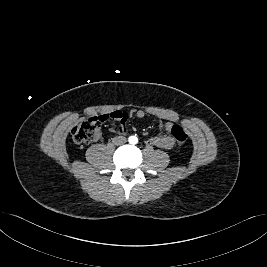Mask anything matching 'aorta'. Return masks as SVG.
I'll return each mask as SVG.
<instances>
[{"instance_id": "1", "label": "aorta", "mask_w": 267, "mask_h": 267, "mask_svg": "<svg viewBox=\"0 0 267 267\" xmlns=\"http://www.w3.org/2000/svg\"><path fill=\"white\" fill-rule=\"evenodd\" d=\"M138 142V138L136 136H130L129 137V143L130 144H136Z\"/></svg>"}]
</instances>
